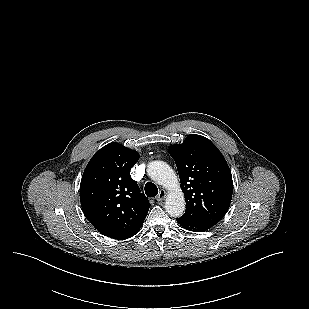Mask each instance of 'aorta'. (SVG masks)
<instances>
[{
    "label": "aorta",
    "instance_id": "1",
    "mask_svg": "<svg viewBox=\"0 0 309 309\" xmlns=\"http://www.w3.org/2000/svg\"><path fill=\"white\" fill-rule=\"evenodd\" d=\"M147 173L153 181L169 190L165 201L166 212L171 217L182 216L185 211V199L173 169L163 161H154L148 165Z\"/></svg>",
    "mask_w": 309,
    "mask_h": 309
}]
</instances>
